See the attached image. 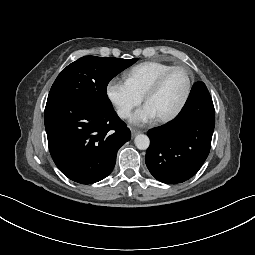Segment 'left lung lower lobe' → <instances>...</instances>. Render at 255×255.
<instances>
[{
  "label": "left lung lower lobe",
  "instance_id": "0a47b994",
  "mask_svg": "<svg viewBox=\"0 0 255 255\" xmlns=\"http://www.w3.org/2000/svg\"><path fill=\"white\" fill-rule=\"evenodd\" d=\"M215 126L212 98L203 82H196L175 119L148 131L145 156L150 173L166 184L190 179L205 162Z\"/></svg>",
  "mask_w": 255,
  "mask_h": 255
}]
</instances>
